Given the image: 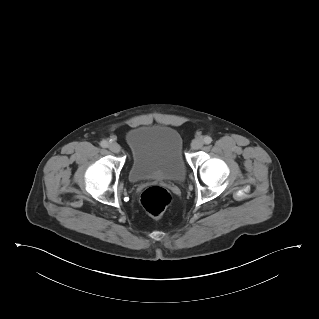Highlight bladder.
I'll return each mask as SVG.
<instances>
[{
	"label": "bladder",
	"instance_id": "1",
	"mask_svg": "<svg viewBox=\"0 0 319 319\" xmlns=\"http://www.w3.org/2000/svg\"><path fill=\"white\" fill-rule=\"evenodd\" d=\"M125 142L131 153L129 180L158 178L181 182L187 173L181 135L167 126L146 125L130 130Z\"/></svg>",
	"mask_w": 319,
	"mask_h": 319
}]
</instances>
